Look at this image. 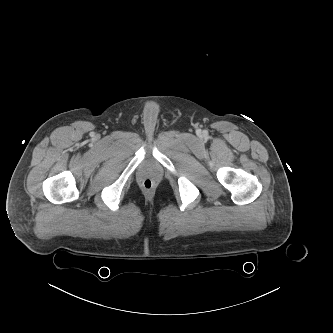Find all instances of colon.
I'll list each match as a JSON object with an SVG mask.
<instances>
[{
	"label": "colon",
	"instance_id": "obj_1",
	"mask_svg": "<svg viewBox=\"0 0 333 333\" xmlns=\"http://www.w3.org/2000/svg\"><path fill=\"white\" fill-rule=\"evenodd\" d=\"M153 181L151 179H144L142 181V187L145 189V190H151L153 188Z\"/></svg>",
	"mask_w": 333,
	"mask_h": 333
}]
</instances>
